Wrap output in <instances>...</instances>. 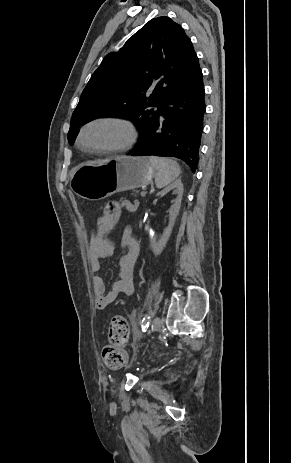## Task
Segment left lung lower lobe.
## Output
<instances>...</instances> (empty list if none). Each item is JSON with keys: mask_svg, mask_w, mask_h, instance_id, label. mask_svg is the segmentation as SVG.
<instances>
[{"mask_svg": "<svg viewBox=\"0 0 291 463\" xmlns=\"http://www.w3.org/2000/svg\"><path fill=\"white\" fill-rule=\"evenodd\" d=\"M201 69L174 88L129 156L175 157L195 172L206 111Z\"/></svg>", "mask_w": 291, "mask_h": 463, "instance_id": "obj_1", "label": "left lung lower lobe"}]
</instances>
